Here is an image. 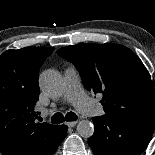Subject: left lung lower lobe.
Here are the masks:
<instances>
[{"label":"left lung lower lobe","instance_id":"1","mask_svg":"<svg viewBox=\"0 0 155 155\" xmlns=\"http://www.w3.org/2000/svg\"><path fill=\"white\" fill-rule=\"evenodd\" d=\"M88 144L96 155H140L155 129V117H94Z\"/></svg>","mask_w":155,"mask_h":155}]
</instances>
